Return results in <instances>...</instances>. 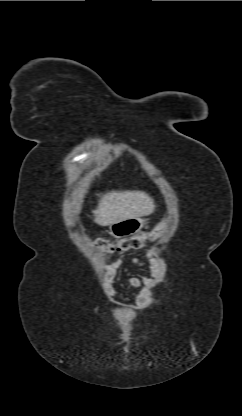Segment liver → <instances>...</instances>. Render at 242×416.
Returning <instances> with one entry per match:
<instances>
[{"label":"liver","instance_id":"1","mask_svg":"<svg viewBox=\"0 0 242 416\" xmlns=\"http://www.w3.org/2000/svg\"><path fill=\"white\" fill-rule=\"evenodd\" d=\"M75 195L82 196V191ZM153 199L143 191H110L100 197L98 206L93 210L94 222L108 226L130 218H140L153 213Z\"/></svg>","mask_w":242,"mask_h":416}]
</instances>
